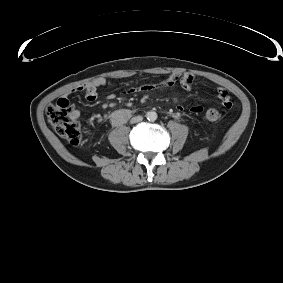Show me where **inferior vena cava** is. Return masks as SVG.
I'll list each match as a JSON object with an SVG mask.
<instances>
[{"label":"inferior vena cava","instance_id":"obj_1","mask_svg":"<svg viewBox=\"0 0 283 283\" xmlns=\"http://www.w3.org/2000/svg\"><path fill=\"white\" fill-rule=\"evenodd\" d=\"M142 120H143L142 116H135L130 120V122L131 123H138V122H141Z\"/></svg>","mask_w":283,"mask_h":283}]
</instances>
